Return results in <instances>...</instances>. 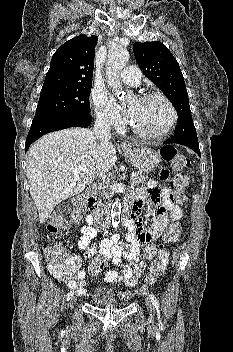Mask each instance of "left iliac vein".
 <instances>
[{"label": "left iliac vein", "mask_w": 233, "mask_h": 352, "mask_svg": "<svg viewBox=\"0 0 233 352\" xmlns=\"http://www.w3.org/2000/svg\"><path fill=\"white\" fill-rule=\"evenodd\" d=\"M145 303H146V306H147V310L149 312V321L153 322L154 315H155L154 305H153L152 301L149 298L146 299Z\"/></svg>", "instance_id": "obj_1"}]
</instances>
